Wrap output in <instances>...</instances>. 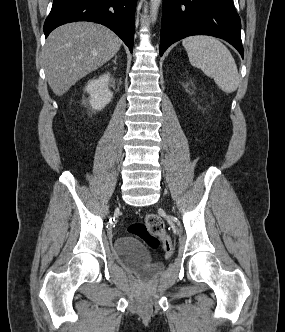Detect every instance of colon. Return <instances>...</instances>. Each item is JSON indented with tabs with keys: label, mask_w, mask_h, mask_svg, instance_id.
Here are the masks:
<instances>
[{
	"label": "colon",
	"mask_w": 285,
	"mask_h": 332,
	"mask_svg": "<svg viewBox=\"0 0 285 332\" xmlns=\"http://www.w3.org/2000/svg\"><path fill=\"white\" fill-rule=\"evenodd\" d=\"M128 233L141 239L153 249L162 247L166 256H170L173 252L171 240L165 234L164 222L155 214L147 215L144 222L131 224Z\"/></svg>",
	"instance_id": "colon-1"
}]
</instances>
